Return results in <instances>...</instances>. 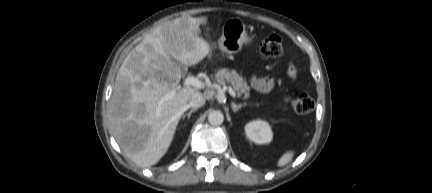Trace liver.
<instances>
[{"label": "liver", "mask_w": 432, "mask_h": 193, "mask_svg": "<svg viewBox=\"0 0 432 193\" xmlns=\"http://www.w3.org/2000/svg\"><path fill=\"white\" fill-rule=\"evenodd\" d=\"M205 18L180 17L153 30L124 59L115 79L109 115L113 135L140 167L165 155L178 122L198 92L180 87L181 68L210 57L212 46L200 37ZM171 91L175 95L165 96Z\"/></svg>", "instance_id": "liver-1"}]
</instances>
